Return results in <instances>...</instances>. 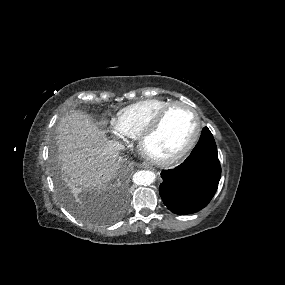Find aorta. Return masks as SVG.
Here are the masks:
<instances>
[{"mask_svg":"<svg viewBox=\"0 0 285 285\" xmlns=\"http://www.w3.org/2000/svg\"><path fill=\"white\" fill-rule=\"evenodd\" d=\"M156 175L152 171H138L133 175V182L137 185H149L155 181Z\"/></svg>","mask_w":285,"mask_h":285,"instance_id":"762f6f07","label":"aorta"}]
</instances>
